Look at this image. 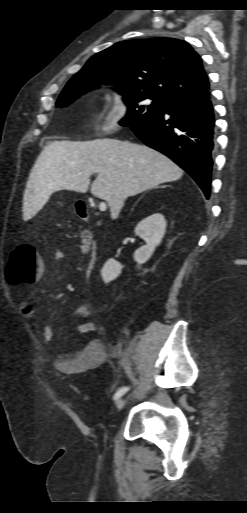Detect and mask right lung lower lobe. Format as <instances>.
I'll use <instances>...</instances> for the list:
<instances>
[{
    "instance_id": "obj_1",
    "label": "right lung lower lobe",
    "mask_w": 247,
    "mask_h": 513,
    "mask_svg": "<svg viewBox=\"0 0 247 513\" xmlns=\"http://www.w3.org/2000/svg\"><path fill=\"white\" fill-rule=\"evenodd\" d=\"M214 113L207 97L165 103L145 122L131 126L146 145L162 152L182 167L210 196Z\"/></svg>"
}]
</instances>
